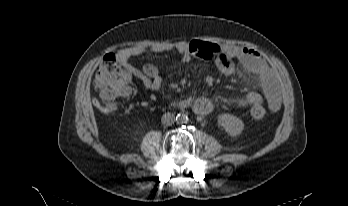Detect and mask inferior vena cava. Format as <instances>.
<instances>
[{
	"instance_id": "obj_1",
	"label": "inferior vena cava",
	"mask_w": 348,
	"mask_h": 206,
	"mask_svg": "<svg viewBox=\"0 0 348 206\" xmlns=\"http://www.w3.org/2000/svg\"><path fill=\"white\" fill-rule=\"evenodd\" d=\"M174 122V116L171 113H165L162 116V123L165 125H171Z\"/></svg>"
}]
</instances>
